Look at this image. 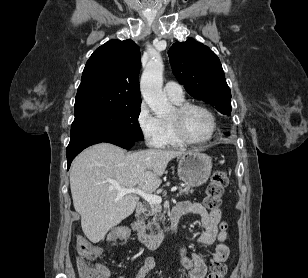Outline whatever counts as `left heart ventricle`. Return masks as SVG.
Wrapping results in <instances>:
<instances>
[{
	"mask_svg": "<svg viewBox=\"0 0 308 278\" xmlns=\"http://www.w3.org/2000/svg\"><path fill=\"white\" fill-rule=\"evenodd\" d=\"M175 110L171 112L168 119L175 118ZM181 123L184 131L193 139H203L207 137L211 131V119L203 110L192 108L188 110L182 117Z\"/></svg>",
	"mask_w": 308,
	"mask_h": 278,
	"instance_id": "b2bd125f",
	"label": "left heart ventricle"
}]
</instances>
